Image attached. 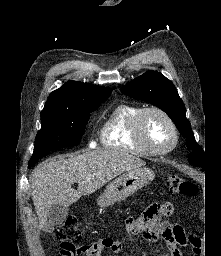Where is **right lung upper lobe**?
Segmentation results:
<instances>
[{"mask_svg":"<svg viewBox=\"0 0 221 256\" xmlns=\"http://www.w3.org/2000/svg\"><path fill=\"white\" fill-rule=\"evenodd\" d=\"M110 94L111 90L106 87L77 81L67 82L49 95L42 112L74 110L82 101Z\"/></svg>","mask_w":221,"mask_h":256,"instance_id":"obj_1","label":"right lung upper lobe"}]
</instances>
